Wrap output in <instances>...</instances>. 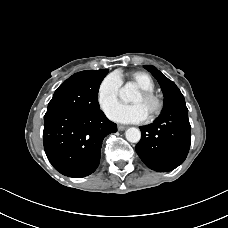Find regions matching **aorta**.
I'll list each match as a JSON object with an SVG mask.
<instances>
[{
  "mask_svg": "<svg viewBox=\"0 0 228 228\" xmlns=\"http://www.w3.org/2000/svg\"><path fill=\"white\" fill-rule=\"evenodd\" d=\"M135 93H136L135 86L132 83L128 82L120 89L119 96L123 102L129 103L133 101ZM125 136L129 142L137 143L140 141L141 132L138 128L131 127L126 130Z\"/></svg>",
  "mask_w": 228,
  "mask_h": 228,
  "instance_id": "762f6f07",
  "label": "aorta"
}]
</instances>
